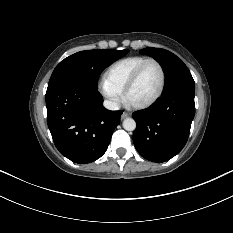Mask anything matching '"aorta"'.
Returning a JSON list of instances; mask_svg holds the SVG:
<instances>
[{"label":"aorta","mask_w":233,"mask_h":233,"mask_svg":"<svg viewBox=\"0 0 233 233\" xmlns=\"http://www.w3.org/2000/svg\"><path fill=\"white\" fill-rule=\"evenodd\" d=\"M123 128L127 131H133L136 128V122L132 118H126L123 121Z\"/></svg>","instance_id":"1"}]
</instances>
